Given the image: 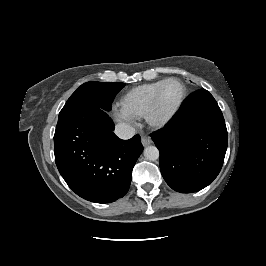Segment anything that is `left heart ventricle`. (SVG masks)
<instances>
[{"mask_svg": "<svg viewBox=\"0 0 266 266\" xmlns=\"http://www.w3.org/2000/svg\"><path fill=\"white\" fill-rule=\"evenodd\" d=\"M180 96V85L177 82L168 83L159 96L156 117L158 119L165 118L175 108Z\"/></svg>", "mask_w": 266, "mask_h": 266, "instance_id": "b2bd125f", "label": "left heart ventricle"}]
</instances>
